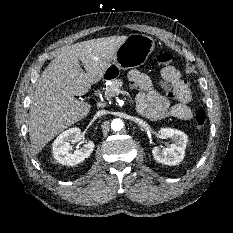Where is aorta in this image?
<instances>
[{
    "label": "aorta",
    "mask_w": 233,
    "mask_h": 233,
    "mask_svg": "<svg viewBox=\"0 0 233 233\" xmlns=\"http://www.w3.org/2000/svg\"><path fill=\"white\" fill-rule=\"evenodd\" d=\"M124 123L121 119H114L111 122V128L113 131H119L123 128Z\"/></svg>",
    "instance_id": "obj_1"
}]
</instances>
